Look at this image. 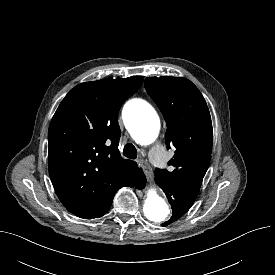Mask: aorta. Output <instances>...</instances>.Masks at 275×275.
<instances>
[{
  "label": "aorta",
  "mask_w": 275,
  "mask_h": 275,
  "mask_svg": "<svg viewBox=\"0 0 275 275\" xmlns=\"http://www.w3.org/2000/svg\"><path fill=\"white\" fill-rule=\"evenodd\" d=\"M123 120L134 140L141 145L151 144L160 131V118L156 110L142 99H133L123 108ZM143 212L145 217L155 225L166 222L171 209L166 200L156 190L147 191Z\"/></svg>",
  "instance_id": "obj_1"
}]
</instances>
